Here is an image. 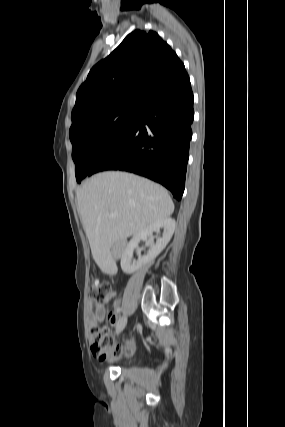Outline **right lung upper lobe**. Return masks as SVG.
I'll list each match as a JSON object with an SVG mask.
<instances>
[{"mask_svg": "<svg viewBox=\"0 0 285 427\" xmlns=\"http://www.w3.org/2000/svg\"><path fill=\"white\" fill-rule=\"evenodd\" d=\"M185 71L154 31L135 30L89 72L76 94L69 134L130 105H142L157 87Z\"/></svg>", "mask_w": 285, "mask_h": 427, "instance_id": "obj_1", "label": "right lung upper lobe"}]
</instances>
